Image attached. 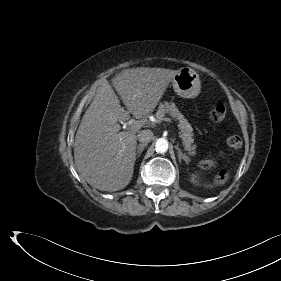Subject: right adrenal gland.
<instances>
[{"label": "right adrenal gland", "mask_w": 281, "mask_h": 281, "mask_svg": "<svg viewBox=\"0 0 281 281\" xmlns=\"http://www.w3.org/2000/svg\"><path fill=\"white\" fill-rule=\"evenodd\" d=\"M146 145H147V144H139V145L137 146L136 154H135V160H136V158L140 157V155H141V153L143 152V150H144V148H145Z\"/></svg>", "instance_id": "obj_1"}]
</instances>
